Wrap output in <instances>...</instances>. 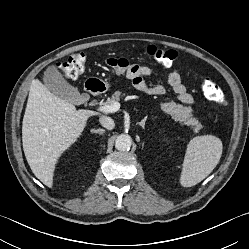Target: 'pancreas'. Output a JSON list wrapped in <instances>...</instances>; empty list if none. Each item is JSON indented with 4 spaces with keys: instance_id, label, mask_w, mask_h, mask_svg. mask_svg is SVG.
Wrapping results in <instances>:
<instances>
[{
    "instance_id": "cf45deb5",
    "label": "pancreas",
    "mask_w": 249,
    "mask_h": 249,
    "mask_svg": "<svg viewBox=\"0 0 249 249\" xmlns=\"http://www.w3.org/2000/svg\"><path fill=\"white\" fill-rule=\"evenodd\" d=\"M121 92L116 91L110 99H108L104 105H110L114 102H118L121 99ZM162 111L172 116L176 121H179L181 125H187L193 128L195 132L202 128V124L192 115L191 107H184L175 102L160 103Z\"/></svg>"
}]
</instances>
